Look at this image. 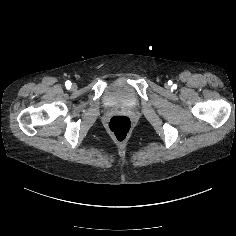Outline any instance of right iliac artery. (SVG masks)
<instances>
[{
    "label": "right iliac artery",
    "mask_w": 236,
    "mask_h": 236,
    "mask_svg": "<svg viewBox=\"0 0 236 236\" xmlns=\"http://www.w3.org/2000/svg\"><path fill=\"white\" fill-rule=\"evenodd\" d=\"M71 84H72V83H71L69 80L66 81V82H65L66 88H67V89H70V88H71Z\"/></svg>",
    "instance_id": "82829eb1"
}]
</instances>
